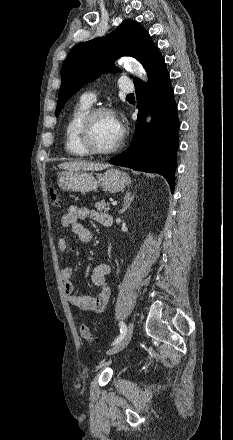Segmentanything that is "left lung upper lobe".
<instances>
[{
    "label": "left lung upper lobe",
    "mask_w": 233,
    "mask_h": 440,
    "mask_svg": "<svg viewBox=\"0 0 233 440\" xmlns=\"http://www.w3.org/2000/svg\"><path fill=\"white\" fill-rule=\"evenodd\" d=\"M159 53L147 31L137 22L123 21L109 35L77 44L61 68L62 83L55 111L58 116L67 100L85 83L93 81L121 56L136 58L147 71ZM132 77V76H131ZM138 78H134V82Z\"/></svg>",
    "instance_id": "left-lung-upper-lobe-1"
}]
</instances>
